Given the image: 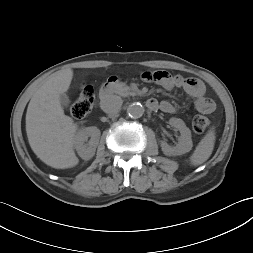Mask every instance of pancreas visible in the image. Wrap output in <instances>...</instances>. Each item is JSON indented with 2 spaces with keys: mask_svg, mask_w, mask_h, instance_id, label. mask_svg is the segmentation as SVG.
<instances>
[{
  "mask_svg": "<svg viewBox=\"0 0 253 253\" xmlns=\"http://www.w3.org/2000/svg\"><path fill=\"white\" fill-rule=\"evenodd\" d=\"M116 94L122 96V97H127L129 95H135L136 93L131 90L129 86H127L125 83L120 82L116 85L115 89Z\"/></svg>",
  "mask_w": 253,
  "mask_h": 253,
  "instance_id": "obj_1",
  "label": "pancreas"
}]
</instances>
